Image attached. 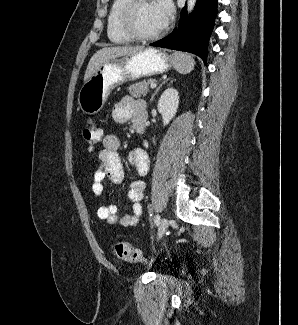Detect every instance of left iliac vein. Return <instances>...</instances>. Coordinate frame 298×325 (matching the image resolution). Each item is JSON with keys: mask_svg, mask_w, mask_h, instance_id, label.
I'll list each match as a JSON object with an SVG mask.
<instances>
[{"mask_svg": "<svg viewBox=\"0 0 298 325\" xmlns=\"http://www.w3.org/2000/svg\"><path fill=\"white\" fill-rule=\"evenodd\" d=\"M168 225H169V221L167 218H163L160 223H159V226H158V233H157V239L160 240L163 235L165 234L167 228H168Z\"/></svg>", "mask_w": 298, "mask_h": 325, "instance_id": "4c4485c4", "label": "left iliac vein"}]
</instances>
